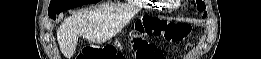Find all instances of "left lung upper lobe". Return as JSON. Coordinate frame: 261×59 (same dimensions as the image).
<instances>
[{
  "label": "left lung upper lobe",
  "mask_w": 261,
  "mask_h": 59,
  "mask_svg": "<svg viewBox=\"0 0 261 59\" xmlns=\"http://www.w3.org/2000/svg\"><path fill=\"white\" fill-rule=\"evenodd\" d=\"M197 9L203 11L205 9V4L201 0H197ZM207 16V12L204 13L203 17Z\"/></svg>",
  "instance_id": "1"
}]
</instances>
